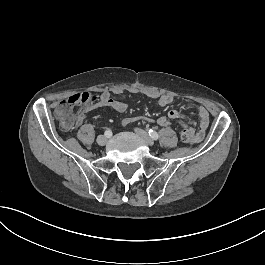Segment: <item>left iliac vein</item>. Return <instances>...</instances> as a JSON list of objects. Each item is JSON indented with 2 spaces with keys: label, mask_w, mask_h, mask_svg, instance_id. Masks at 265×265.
<instances>
[{
  "label": "left iliac vein",
  "mask_w": 265,
  "mask_h": 265,
  "mask_svg": "<svg viewBox=\"0 0 265 265\" xmlns=\"http://www.w3.org/2000/svg\"><path fill=\"white\" fill-rule=\"evenodd\" d=\"M135 132L144 140V142L148 146H153L154 145L153 140L148 136V134L145 131H143V130H141L139 128H136Z\"/></svg>",
  "instance_id": "4c4485c4"
}]
</instances>
